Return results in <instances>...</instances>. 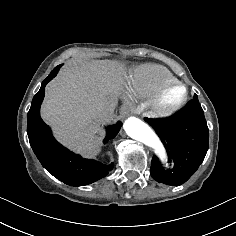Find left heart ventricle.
Returning a JSON list of instances; mask_svg holds the SVG:
<instances>
[{
	"label": "left heart ventricle",
	"instance_id": "obj_1",
	"mask_svg": "<svg viewBox=\"0 0 236 236\" xmlns=\"http://www.w3.org/2000/svg\"><path fill=\"white\" fill-rule=\"evenodd\" d=\"M181 93H182L181 89L170 92L166 97V101L167 102L175 101L181 95Z\"/></svg>",
	"mask_w": 236,
	"mask_h": 236
}]
</instances>
